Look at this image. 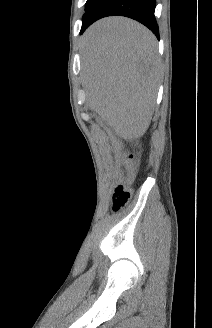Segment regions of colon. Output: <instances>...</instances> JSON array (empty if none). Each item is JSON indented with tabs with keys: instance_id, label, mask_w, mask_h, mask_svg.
<instances>
[{
	"instance_id": "5ec220e1",
	"label": "colon",
	"mask_w": 212,
	"mask_h": 328,
	"mask_svg": "<svg viewBox=\"0 0 212 328\" xmlns=\"http://www.w3.org/2000/svg\"><path fill=\"white\" fill-rule=\"evenodd\" d=\"M124 163L126 166L125 174L122 178V182L115 187L112 196V209L114 212L120 211L130 200V185L133 182L136 174L132 155L125 156Z\"/></svg>"
}]
</instances>
